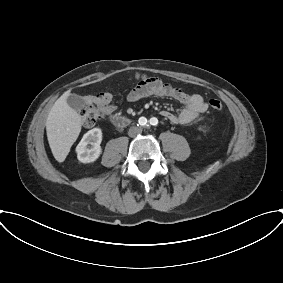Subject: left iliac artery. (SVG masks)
Masks as SVG:
<instances>
[{
    "label": "left iliac artery",
    "instance_id": "left-iliac-artery-1",
    "mask_svg": "<svg viewBox=\"0 0 283 283\" xmlns=\"http://www.w3.org/2000/svg\"><path fill=\"white\" fill-rule=\"evenodd\" d=\"M150 124L153 125V126H156L158 124V120L157 118L153 117L150 119Z\"/></svg>",
    "mask_w": 283,
    "mask_h": 283
}]
</instances>
